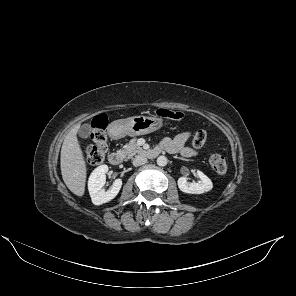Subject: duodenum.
Returning <instances> with one entry per match:
<instances>
[{
	"mask_svg": "<svg viewBox=\"0 0 296 296\" xmlns=\"http://www.w3.org/2000/svg\"><path fill=\"white\" fill-rule=\"evenodd\" d=\"M118 135H119V133L117 131H115L113 129L110 131V136L112 138H116ZM161 151H162V149L159 147L151 148L146 151V155L149 158H156L161 153ZM108 159L112 165L118 166L123 162V154L119 151H115L109 155Z\"/></svg>",
	"mask_w": 296,
	"mask_h": 296,
	"instance_id": "1",
	"label": "duodenum"
}]
</instances>
